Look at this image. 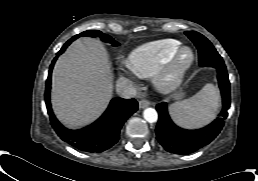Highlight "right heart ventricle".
I'll return each mask as SVG.
<instances>
[{"mask_svg":"<svg viewBox=\"0 0 258 181\" xmlns=\"http://www.w3.org/2000/svg\"><path fill=\"white\" fill-rule=\"evenodd\" d=\"M180 45V41L170 38L145 43L130 53L127 65L138 77L151 78Z\"/></svg>","mask_w":258,"mask_h":181,"instance_id":"right-heart-ventricle-1","label":"right heart ventricle"}]
</instances>
